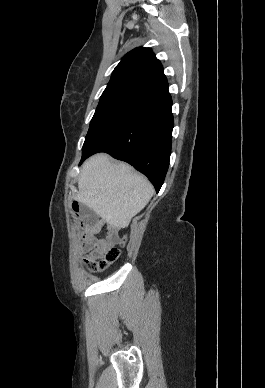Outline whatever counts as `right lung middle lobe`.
Segmentation results:
<instances>
[{"mask_svg":"<svg viewBox=\"0 0 265 388\" xmlns=\"http://www.w3.org/2000/svg\"><path fill=\"white\" fill-rule=\"evenodd\" d=\"M147 100L124 93H103L85 137L82 156L127 121Z\"/></svg>","mask_w":265,"mask_h":388,"instance_id":"1","label":"right lung middle lobe"}]
</instances>
